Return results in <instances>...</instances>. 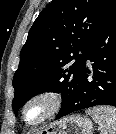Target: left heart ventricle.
I'll use <instances>...</instances> for the list:
<instances>
[{
    "mask_svg": "<svg viewBox=\"0 0 116 134\" xmlns=\"http://www.w3.org/2000/svg\"><path fill=\"white\" fill-rule=\"evenodd\" d=\"M43 111L42 106H34L31 108L28 112V119L29 120H35Z\"/></svg>",
    "mask_w": 116,
    "mask_h": 134,
    "instance_id": "obj_1",
    "label": "left heart ventricle"
}]
</instances>
